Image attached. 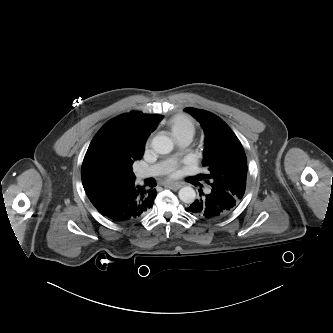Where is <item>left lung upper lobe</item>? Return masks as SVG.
I'll return each instance as SVG.
<instances>
[{"label":"left lung upper lobe","mask_w":333,"mask_h":333,"mask_svg":"<svg viewBox=\"0 0 333 333\" xmlns=\"http://www.w3.org/2000/svg\"><path fill=\"white\" fill-rule=\"evenodd\" d=\"M205 131L203 166L210 174L211 188L229 192L239 204L244 196L247 176V159L244 149L229 126L216 115L195 108H185Z\"/></svg>","instance_id":"obj_1"}]
</instances>
